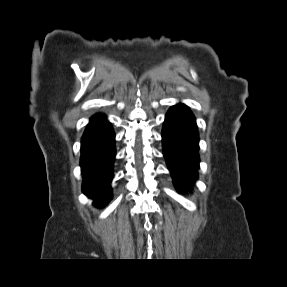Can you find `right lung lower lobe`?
I'll return each mask as SVG.
<instances>
[{
    "mask_svg": "<svg viewBox=\"0 0 287 287\" xmlns=\"http://www.w3.org/2000/svg\"><path fill=\"white\" fill-rule=\"evenodd\" d=\"M114 158L115 133L106 116L98 113L91 117L82 136L80 159L82 190L97 206L112 198Z\"/></svg>",
    "mask_w": 287,
    "mask_h": 287,
    "instance_id": "obj_1",
    "label": "right lung lower lobe"
}]
</instances>
